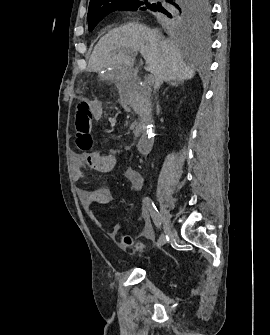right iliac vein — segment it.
I'll return each instance as SVG.
<instances>
[{"instance_id": "63e3f726", "label": "right iliac vein", "mask_w": 270, "mask_h": 335, "mask_svg": "<svg viewBox=\"0 0 270 335\" xmlns=\"http://www.w3.org/2000/svg\"><path fill=\"white\" fill-rule=\"evenodd\" d=\"M161 223L165 231L171 230L170 214L165 205H161Z\"/></svg>"}]
</instances>
